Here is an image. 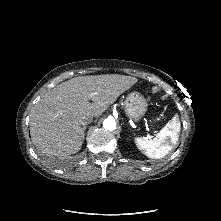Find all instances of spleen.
<instances>
[{"label":"spleen","mask_w":221,"mask_h":221,"mask_svg":"<svg viewBox=\"0 0 221 221\" xmlns=\"http://www.w3.org/2000/svg\"><path fill=\"white\" fill-rule=\"evenodd\" d=\"M180 130L181 124L178 115H175L153 139L138 137L135 143L147 157L160 159L166 156L177 143Z\"/></svg>","instance_id":"obj_1"}]
</instances>
